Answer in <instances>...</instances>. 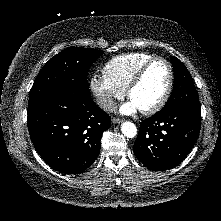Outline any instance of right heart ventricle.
Here are the masks:
<instances>
[{"mask_svg": "<svg viewBox=\"0 0 221 221\" xmlns=\"http://www.w3.org/2000/svg\"><path fill=\"white\" fill-rule=\"evenodd\" d=\"M153 56L143 52L118 55L103 67V74L124 91L140 66Z\"/></svg>", "mask_w": 221, "mask_h": 221, "instance_id": "e07e8e85", "label": "right heart ventricle"}]
</instances>
